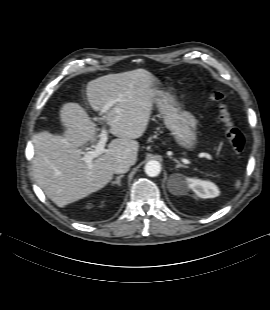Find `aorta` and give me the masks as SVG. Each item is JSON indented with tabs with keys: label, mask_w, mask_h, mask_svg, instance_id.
Returning <instances> with one entry per match:
<instances>
[{
	"label": "aorta",
	"mask_w": 270,
	"mask_h": 310,
	"mask_svg": "<svg viewBox=\"0 0 270 310\" xmlns=\"http://www.w3.org/2000/svg\"><path fill=\"white\" fill-rule=\"evenodd\" d=\"M145 173L150 177H156L160 174L161 165L158 161H148L144 167Z\"/></svg>",
	"instance_id": "1"
}]
</instances>
